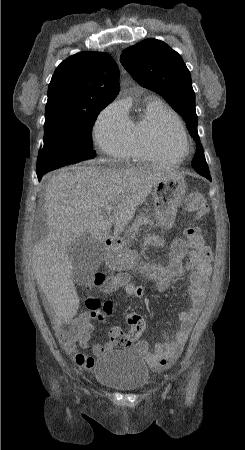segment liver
<instances>
[{
  "mask_svg": "<svg viewBox=\"0 0 245 450\" xmlns=\"http://www.w3.org/2000/svg\"><path fill=\"white\" fill-rule=\"evenodd\" d=\"M166 177H181L142 168H62L46 186L44 207L48 236L32 250V268L38 285L54 311L72 318L79 304L73 284V259L68 248L77 238L88 235L105 240L114 224V236L123 232L136 209L145 202L155 183ZM113 210L105 213V207Z\"/></svg>",
  "mask_w": 245,
  "mask_h": 450,
  "instance_id": "1",
  "label": "liver"
}]
</instances>
